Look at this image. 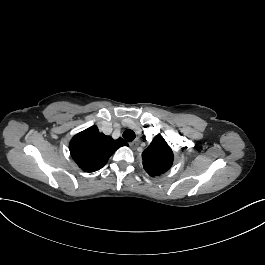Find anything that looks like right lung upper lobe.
I'll list each match as a JSON object with an SVG mask.
<instances>
[{
  "label": "right lung upper lobe",
  "instance_id": "1",
  "mask_svg": "<svg viewBox=\"0 0 265 265\" xmlns=\"http://www.w3.org/2000/svg\"><path fill=\"white\" fill-rule=\"evenodd\" d=\"M125 145L127 143L122 138L114 140L100 133L94 125L76 134L70 141L69 150L83 171L94 172L102 168L119 147Z\"/></svg>",
  "mask_w": 265,
  "mask_h": 265
}]
</instances>
